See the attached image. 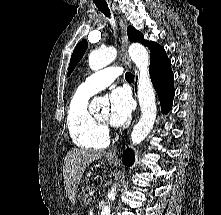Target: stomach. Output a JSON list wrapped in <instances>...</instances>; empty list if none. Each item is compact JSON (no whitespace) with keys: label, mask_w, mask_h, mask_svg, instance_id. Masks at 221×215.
Listing matches in <instances>:
<instances>
[{"label":"stomach","mask_w":221,"mask_h":215,"mask_svg":"<svg viewBox=\"0 0 221 215\" xmlns=\"http://www.w3.org/2000/svg\"><path fill=\"white\" fill-rule=\"evenodd\" d=\"M106 159H107V161H108L109 164H114V163H116V159H112V158H109V157H107ZM73 215H78V213H74Z\"/></svg>","instance_id":"obj_1"}]
</instances>
